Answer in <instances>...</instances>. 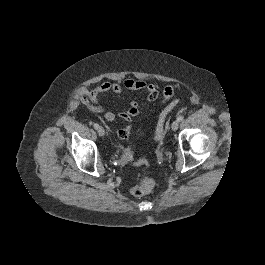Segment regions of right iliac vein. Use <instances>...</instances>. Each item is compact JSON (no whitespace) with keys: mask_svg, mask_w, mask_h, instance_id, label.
I'll use <instances>...</instances> for the list:
<instances>
[{"mask_svg":"<svg viewBox=\"0 0 265 265\" xmlns=\"http://www.w3.org/2000/svg\"><path fill=\"white\" fill-rule=\"evenodd\" d=\"M97 131H98L99 136L101 137L104 136L105 130L103 127H98Z\"/></svg>","mask_w":265,"mask_h":265,"instance_id":"1","label":"right iliac vein"}]
</instances>
